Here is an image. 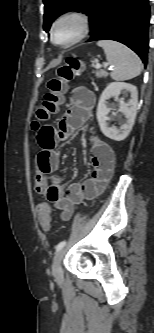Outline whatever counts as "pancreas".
Returning a JSON list of instances; mask_svg holds the SVG:
<instances>
[{"label":"pancreas","mask_w":154,"mask_h":333,"mask_svg":"<svg viewBox=\"0 0 154 333\" xmlns=\"http://www.w3.org/2000/svg\"><path fill=\"white\" fill-rule=\"evenodd\" d=\"M95 75H96V77H98V78L107 77V76H108V72H106V71H104V70H102V69H97V70L95 71Z\"/></svg>","instance_id":"cf45deb5"}]
</instances>
